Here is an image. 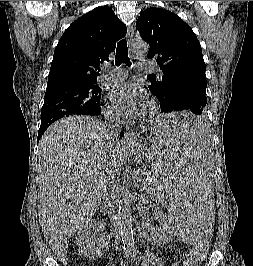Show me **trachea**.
<instances>
[{"mask_svg": "<svg viewBox=\"0 0 253 266\" xmlns=\"http://www.w3.org/2000/svg\"><path fill=\"white\" fill-rule=\"evenodd\" d=\"M121 63H126L128 66H131V62L128 57V48H127L126 39L120 40L116 48L115 64L119 66Z\"/></svg>", "mask_w": 253, "mask_h": 266, "instance_id": "trachea-1", "label": "trachea"}]
</instances>
